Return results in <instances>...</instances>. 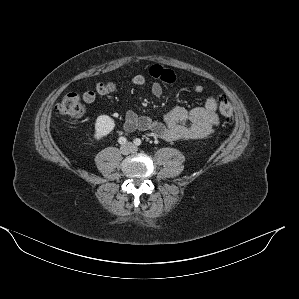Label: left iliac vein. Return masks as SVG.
I'll return each mask as SVG.
<instances>
[{"instance_id":"4c4485c4","label":"left iliac vein","mask_w":299,"mask_h":299,"mask_svg":"<svg viewBox=\"0 0 299 299\" xmlns=\"http://www.w3.org/2000/svg\"><path fill=\"white\" fill-rule=\"evenodd\" d=\"M128 146H130L132 148V151H137V148L132 146V144L128 143Z\"/></svg>"}]
</instances>
